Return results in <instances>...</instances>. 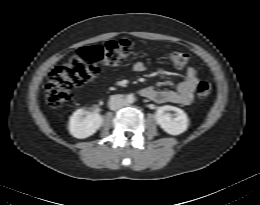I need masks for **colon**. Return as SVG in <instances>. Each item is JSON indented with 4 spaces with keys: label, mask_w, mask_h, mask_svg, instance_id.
<instances>
[{
    "label": "colon",
    "mask_w": 260,
    "mask_h": 205,
    "mask_svg": "<svg viewBox=\"0 0 260 205\" xmlns=\"http://www.w3.org/2000/svg\"><path fill=\"white\" fill-rule=\"evenodd\" d=\"M134 50V45L127 40H112L80 48L68 62L55 67L50 73L45 86V95L49 105L58 106L70 101L74 89L98 76L100 65L124 64L132 56ZM169 55L177 67L183 66L189 60V54L181 48H171ZM210 93L211 85L206 81H199L196 86L197 97L206 99Z\"/></svg>",
    "instance_id": "1"
}]
</instances>
